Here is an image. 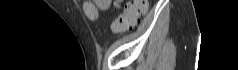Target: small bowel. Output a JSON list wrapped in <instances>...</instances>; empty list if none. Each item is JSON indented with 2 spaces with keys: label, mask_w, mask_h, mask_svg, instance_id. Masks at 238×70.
Instances as JSON below:
<instances>
[{
  "label": "small bowel",
  "mask_w": 238,
  "mask_h": 70,
  "mask_svg": "<svg viewBox=\"0 0 238 70\" xmlns=\"http://www.w3.org/2000/svg\"><path fill=\"white\" fill-rule=\"evenodd\" d=\"M120 3H121L120 0H115V1H112V0H94V1L84 2L83 3V10H84V12H85V14L88 18L96 19L98 15L92 17L88 13V8L90 6H92L98 14L100 10H107V9L111 8V6H114V7L117 8V7L120 6Z\"/></svg>",
  "instance_id": "small-bowel-1"
}]
</instances>
